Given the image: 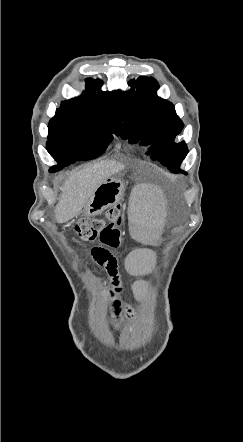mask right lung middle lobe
<instances>
[{"instance_id": "right-lung-middle-lobe-1", "label": "right lung middle lobe", "mask_w": 243, "mask_h": 442, "mask_svg": "<svg viewBox=\"0 0 243 442\" xmlns=\"http://www.w3.org/2000/svg\"><path fill=\"white\" fill-rule=\"evenodd\" d=\"M120 127L57 109L48 125L47 151L58 162L56 170L75 161L100 156Z\"/></svg>"}]
</instances>
